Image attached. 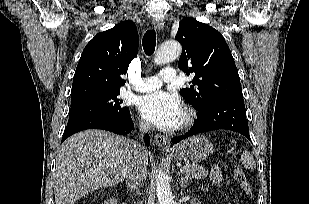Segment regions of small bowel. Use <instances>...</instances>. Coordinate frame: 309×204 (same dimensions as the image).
<instances>
[{"mask_svg":"<svg viewBox=\"0 0 309 204\" xmlns=\"http://www.w3.org/2000/svg\"><path fill=\"white\" fill-rule=\"evenodd\" d=\"M210 176H211L212 181L216 185L220 186L222 184H227V181L224 180L221 170L218 166H212L211 171H210Z\"/></svg>","mask_w":309,"mask_h":204,"instance_id":"obj_1","label":"small bowel"}]
</instances>
